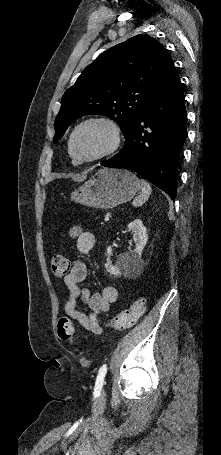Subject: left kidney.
I'll use <instances>...</instances> for the list:
<instances>
[{
    "label": "left kidney",
    "mask_w": 221,
    "mask_h": 455,
    "mask_svg": "<svg viewBox=\"0 0 221 455\" xmlns=\"http://www.w3.org/2000/svg\"><path fill=\"white\" fill-rule=\"evenodd\" d=\"M128 230L133 232V240L135 242V249L131 252L121 254L115 265L112 264L111 248L107 249V261L105 269L113 275H120L135 270L141 262L142 251L148 241V234L146 227L140 219H135L128 224Z\"/></svg>",
    "instance_id": "left-kidney-1"
}]
</instances>
